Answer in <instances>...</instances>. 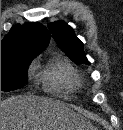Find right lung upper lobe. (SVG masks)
<instances>
[{
	"instance_id": "obj_1",
	"label": "right lung upper lobe",
	"mask_w": 123,
	"mask_h": 130,
	"mask_svg": "<svg viewBox=\"0 0 123 130\" xmlns=\"http://www.w3.org/2000/svg\"><path fill=\"white\" fill-rule=\"evenodd\" d=\"M50 33L40 23L13 26L1 41V60L13 56L41 53L48 45Z\"/></svg>"
}]
</instances>
